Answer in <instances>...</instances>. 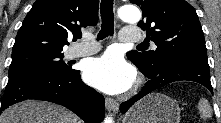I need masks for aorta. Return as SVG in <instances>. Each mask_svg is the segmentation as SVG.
I'll use <instances>...</instances> for the list:
<instances>
[{
	"label": "aorta",
	"mask_w": 221,
	"mask_h": 123,
	"mask_svg": "<svg viewBox=\"0 0 221 123\" xmlns=\"http://www.w3.org/2000/svg\"><path fill=\"white\" fill-rule=\"evenodd\" d=\"M119 18L127 23H137L141 20V12L133 5L122 6L118 11ZM104 123H114L112 117H107Z\"/></svg>",
	"instance_id": "obj_1"
}]
</instances>
